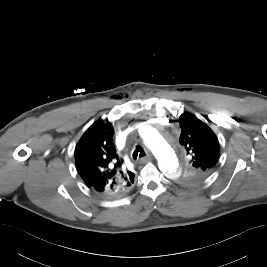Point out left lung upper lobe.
I'll return each instance as SVG.
<instances>
[{"instance_id":"left-lung-upper-lobe-1","label":"left lung upper lobe","mask_w":267,"mask_h":267,"mask_svg":"<svg viewBox=\"0 0 267 267\" xmlns=\"http://www.w3.org/2000/svg\"><path fill=\"white\" fill-rule=\"evenodd\" d=\"M179 123V142L189 156V163L181 181L184 184H197L215 170L220 152L219 142L214 132L191 113H183Z\"/></svg>"}]
</instances>
